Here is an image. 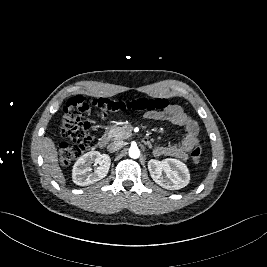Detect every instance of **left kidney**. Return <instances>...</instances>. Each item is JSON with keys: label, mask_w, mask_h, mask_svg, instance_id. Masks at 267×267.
<instances>
[{"label": "left kidney", "mask_w": 267, "mask_h": 267, "mask_svg": "<svg viewBox=\"0 0 267 267\" xmlns=\"http://www.w3.org/2000/svg\"><path fill=\"white\" fill-rule=\"evenodd\" d=\"M148 169L152 179L168 190H178L188 185L190 174L187 166L177 159L166 158L162 161L151 159ZM166 173V176L162 174Z\"/></svg>", "instance_id": "5707ae66"}]
</instances>
